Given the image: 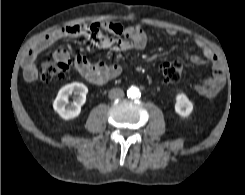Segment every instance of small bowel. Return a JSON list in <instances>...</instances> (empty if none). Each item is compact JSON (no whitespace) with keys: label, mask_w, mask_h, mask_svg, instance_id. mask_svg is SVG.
<instances>
[{"label":"small bowel","mask_w":245,"mask_h":195,"mask_svg":"<svg viewBox=\"0 0 245 195\" xmlns=\"http://www.w3.org/2000/svg\"><path fill=\"white\" fill-rule=\"evenodd\" d=\"M168 34L175 35L176 31L168 30ZM74 37H84L98 47L116 51L140 50L147 42L146 33L139 25L124 27L113 22H92L63 26L41 37L25 54L22 61L25 79L30 82L37 79L35 60L41 52L61 39ZM194 43L202 55L185 52V59L195 65L210 64L212 68V75L197 84L195 91L203 97H214L225 84L223 67L215 52L202 39L194 38ZM54 55L58 59L69 61V54L65 49L57 50ZM73 69L95 85L116 78L122 70L118 64L91 63L81 55L75 57Z\"/></svg>","instance_id":"1"}]
</instances>
